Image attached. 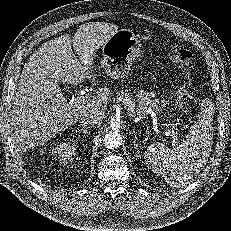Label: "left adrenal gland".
I'll return each instance as SVG.
<instances>
[{
  "label": "left adrenal gland",
  "mask_w": 231,
  "mask_h": 231,
  "mask_svg": "<svg viewBox=\"0 0 231 231\" xmlns=\"http://www.w3.org/2000/svg\"><path fill=\"white\" fill-rule=\"evenodd\" d=\"M133 132H134V134H135V128L133 129ZM137 137H136V135H135V139H136ZM134 148L136 149V151L137 152H139V150H138V144L136 143V141L134 140Z\"/></svg>",
  "instance_id": "a2214340"
}]
</instances>
